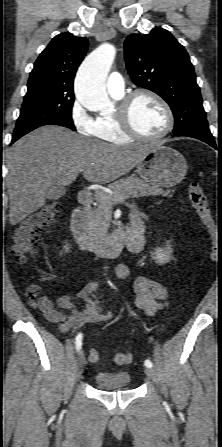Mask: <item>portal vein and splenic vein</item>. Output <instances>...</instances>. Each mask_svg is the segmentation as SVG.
<instances>
[{
    "instance_id": "obj_1",
    "label": "portal vein and splenic vein",
    "mask_w": 222,
    "mask_h": 447,
    "mask_svg": "<svg viewBox=\"0 0 222 447\" xmlns=\"http://www.w3.org/2000/svg\"><path fill=\"white\" fill-rule=\"evenodd\" d=\"M128 198H129V195L124 194V195L117 196L114 199H111V201L114 202V203H118V202H123V201H125Z\"/></svg>"
}]
</instances>
